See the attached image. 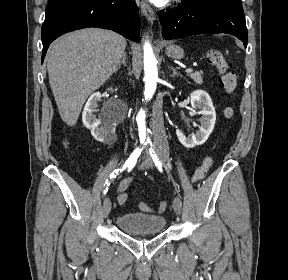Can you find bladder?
Segmentation results:
<instances>
[{
	"label": "bladder",
	"mask_w": 288,
	"mask_h": 280,
	"mask_svg": "<svg viewBox=\"0 0 288 280\" xmlns=\"http://www.w3.org/2000/svg\"><path fill=\"white\" fill-rule=\"evenodd\" d=\"M117 227L129 234L159 233L166 225L162 215L125 213L116 218Z\"/></svg>",
	"instance_id": "obj_1"
}]
</instances>
